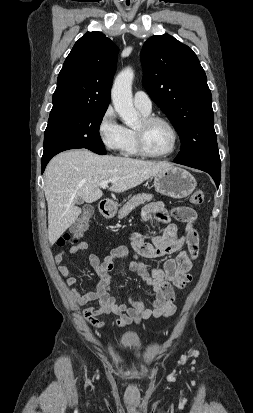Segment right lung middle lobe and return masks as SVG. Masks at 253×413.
<instances>
[{"label":"right lung middle lobe","mask_w":253,"mask_h":413,"mask_svg":"<svg viewBox=\"0 0 253 413\" xmlns=\"http://www.w3.org/2000/svg\"><path fill=\"white\" fill-rule=\"evenodd\" d=\"M107 109L50 115L43 157L69 148H103L99 126Z\"/></svg>","instance_id":"1"}]
</instances>
